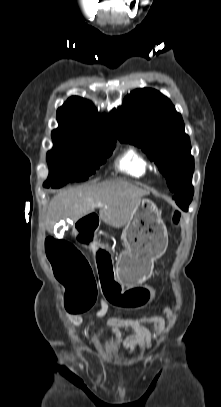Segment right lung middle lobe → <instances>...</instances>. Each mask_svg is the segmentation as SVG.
Returning a JSON list of instances; mask_svg holds the SVG:
<instances>
[{
    "label": "right lung middle lobe",
    "instance_id": "1",
    "mask_svg": "<svg viewBox=\"0 0 221 407\" xmlns=\"http://www.w3.org/2000/svg\"><path fill=\"white\" fill-rule=\"evenodd\" d=\"M47 154L49 176L44 187L59 188L73 181L87 180L111 155L116 142L106 144L53 139Z\"/></svg>",
    "mask_w": 221,
    "mask_h": 407
}]
</instances>
